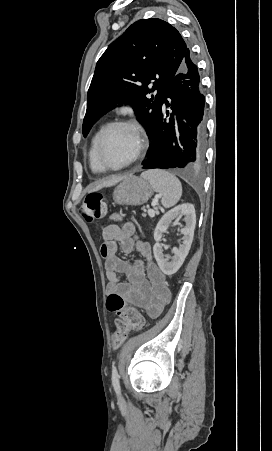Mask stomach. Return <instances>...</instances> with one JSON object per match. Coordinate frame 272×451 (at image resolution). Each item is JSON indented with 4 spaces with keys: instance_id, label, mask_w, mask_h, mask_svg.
Returning a JSON list of instances; mask_svg holds the SVG:
<instances>
[{
    "instance_id": "obj_1",
    "label": "stomach",
    "mask_w": 272,
    "mask_h": 451,
    "mask_svg": "<svg viewBox=\"0 0 272 451\" xmlns=\"http://www.w3.org/2000/svg\"><path fill=\"white\" fill-rule=\"evenodd\" d=\"M153 190L146 180L138 176H125L121 184L113 192V200L120 206H141L151 198Z\"/></svg>"
}]
</instances>
